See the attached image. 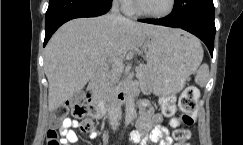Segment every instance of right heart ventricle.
<instances>
[{
    "label": "right heart ventricle",
    "instance_id": "e07e8e85",
    "mask_svg": "<svg viewBox=\"0 0 243 145\" xmlns=\"http://www.w3.org/2000/svg\"><path fill=\"white\" fill-rule=\"evenodd\" d=\"M126 11H127L128 13H134L135 8H134V6H133L132 4H130V6L126 8Z\"/></svg>",
    "mask_w": 243,
    "mask_h": 145
}]
</instances>
